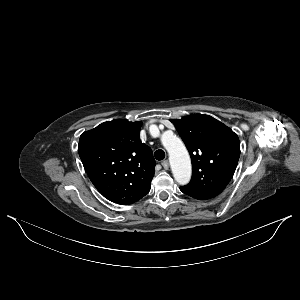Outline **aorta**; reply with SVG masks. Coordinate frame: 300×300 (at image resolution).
Returning <instances> with one entry per match:
<instances>
[{"instance_id":"obj_1","label":"aorta","mask_w":300,"mask_h":300,"mask_svg":"<svg viewBox=\"0 0 300 300\" xmlns=\"http://www.w3.org/2000/svg\"><path fill=\"white\" fill-rule=\"evenodd\" d=\"M162 144L169 153L172 173L176 182L186 185L191 179V160L182 140L170 132L162 135Z\"/></svg>"}]
</instances>
